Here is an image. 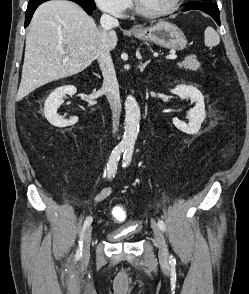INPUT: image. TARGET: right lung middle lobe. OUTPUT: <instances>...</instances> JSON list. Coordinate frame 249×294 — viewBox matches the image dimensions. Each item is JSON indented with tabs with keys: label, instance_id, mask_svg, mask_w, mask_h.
<instances>
[{
	"label": "right lung middle lobe",
	"instance_id": "1",
	"mask_svg": "<svg viewBox=\"0 0 249 294\" xmlns=\"http://www.w3.org/2000/svg\"><path fill=\"white\" fill-rule=\"evenodd\" d=\"M32 1H36V0H30L29 2H32ZM84 5L86 6H89L93 9H95V3H94V0H80Z\"/></svg>",
	"mask_w": 249,
	"mask_h": 294
}]
</instances>
